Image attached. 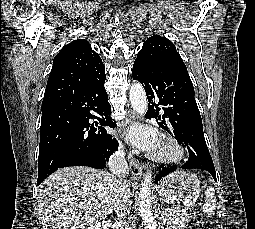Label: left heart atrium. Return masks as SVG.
Returning <instances> with one entry per match:
<instances>
[{"instance_id": "obj_1", "label": "left heart atrium", "mask_w": 255, "mask_h": 229, "mask_svg": "<svg viewBox=\"0 0 255 229\" xmlns=\"http://www.w3.org/2000/svg\"><path fill=\"white\" fill-rule=\"evenodd\" d=\"M127 137L134 145L144 150L154 151L158 146V138L155 131L146 126H133L129 130Z\"/></svg>"}]
</instances>
